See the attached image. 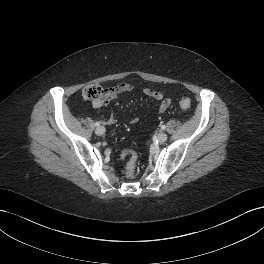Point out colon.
<instances>
[{
  "instance_id": "colon-1",
  "label": "colon",
  "mask_w": 264,
  "mask_h": 264,
  "mask_svg": "<svg viewBox=\"0 0 264 264\" xmlns=\"http://www.w3.org/2000/svg\"><path fill=\"white\" fill-rule=\"evenodd\" d=\"M105 90L98 85H89L83 89L82 95L87 100H98L104 96ZM180 106L187 109L191 106L190 98L184 97L180 100ZM123 157L128 158L127 176L132 177L138 161V155L134 150H126L122 153Z\"/></svg>"
}]
</instances>
